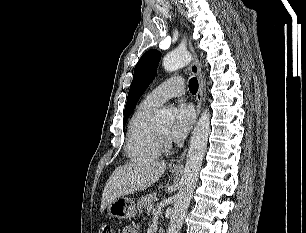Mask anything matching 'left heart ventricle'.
Masks as SVG:
<instances>
[{
	"label": "left heart ventricle",
	"instance_id": "1",
	"mask_svg": "<svg viewBox=\"0 0 306 233\" xmlns=\"http://www.w3.org/2000/svg\"><path fill=\"white\" fill-rule=\"evenodd\" d=\"M157 128L162 134H164L165 136H168V132L170 129L169 125H162V126H158Z\"/></svg>",
	"mask_w": 306,
	"mask_h": 233
}]
</instances>
